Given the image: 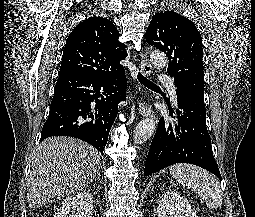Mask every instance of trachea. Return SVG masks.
Instances as JSON below:
<instances>
[{
	"instance_id": "obj_1",
	"label": "trachea",
	"mask_w": 255,
	"mask_h": 217,
	"mask_svg": "<svg viewBox=\"0 0 255 217\" xmlns=\"http://www.w3.org/2000/svg\"><path fill=\"white\" fill-rule=\"evenodd\" d=\"M137 78L144 86L152 89H159V86L148 80L145 76H143L141 73L137 74Z\"/></svg>"
}]
</instances>
